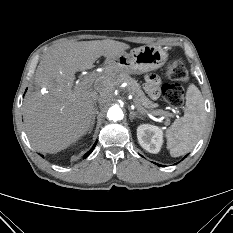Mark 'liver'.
<instances>
[{
  "label": "liver",
  "mask_w": 233,
  "mask_h": 233,
  "mask_svg": "<svg viewBox=\"0 0 233 233\" xmlns=\"http://www.w3.org/2000/svg\"><path fill=\"white\" fill-rule=\"evenodd\" d=\"M130 46L115 40L66 41L50 49L35 73L36 90L23 104L26 132L34 149L57 153L68 148L89 130L95 114L97 91L104 92L110 77L96 80L95 90L74 85L75 73L93 68L104 56L108 62ZM46 88V93L41 92Z\"/></svg>",
  "instance_id": "liver-1"
}]
</instances>
